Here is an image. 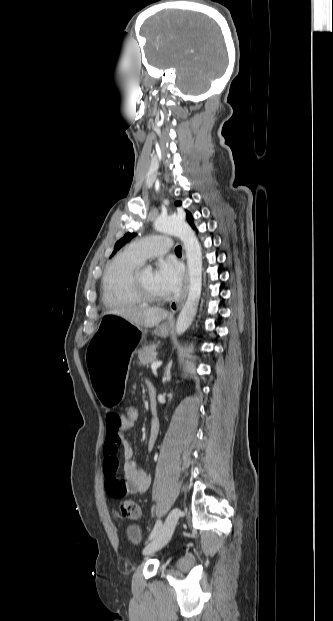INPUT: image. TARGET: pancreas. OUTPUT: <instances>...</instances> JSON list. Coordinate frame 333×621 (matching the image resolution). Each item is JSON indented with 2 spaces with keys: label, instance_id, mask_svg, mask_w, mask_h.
Instances as JSON below:
<instances>
[{
  "label": "pancreas",
  "instance_id": "pancreas-1",
  "mask_svg": "<svg viewBox=\"0 0 333 621\" xmlns=\"http://www.w3.org/2000/svg\"><path fill=\"white\" fill-rule=\"evenodd\" d=\"M155 350H156L155 345H149V346H143L137 351L138 358L140 360V363L143 366L156 361L157 353L155 352Z\"/></svg>",
  "mask_w": 333,
  "mask_h": 621
}]
</instances>
